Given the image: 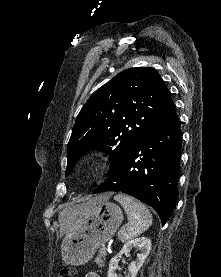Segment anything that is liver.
Segmentation results:
<instances>
[{
    "label": "liver",
    "mask_w": 221,
    "mask_h": 277,
    "mask_svg": "<svg viewBox=\"0 0 221 277\" xmlns=\"http://www.w3.org/2000/svg\"><path fill=\"white\" fill-rule=\"evenodd\" d=\"M111 194H103L95 197L96 203H101L103 201H108ZM82 209L81 205H76L73 207H69L64 209L59 214V223H60V236L64 235L68 231V224L72 220L74 216H76Z\"/></svg>",
    "instance_id": "liver-1"
}]
</instances>
